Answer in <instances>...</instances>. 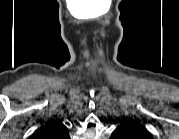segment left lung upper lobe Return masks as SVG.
Masks as SVG:
<instances>
[{
	"label": "left lung upper lobe",
	"instance_id": "1",
	"mask_svg": "<svg viewBox=\"0 0 179 139\" xmlns=\"http://www.w3.org/2000/svg\"><path fill=\"white\" fill-rule=\"evenodd\" d=\"M113 136L117 135H126L133 137H147L151 138L150 133L147 129L137 123L127 122L121 126H119L112 134Z\"/></svg>",
	"mask_w": 179,
	"mask_h": 139
}]
</instances>
